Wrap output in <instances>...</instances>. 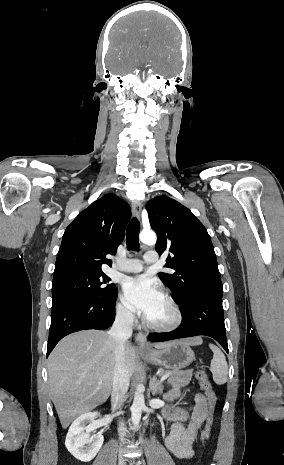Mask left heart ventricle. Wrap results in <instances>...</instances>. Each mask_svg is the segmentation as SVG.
I'll use <instances>...</instances> for the list:
<instances>
[{
	"label": "left heart ventricle",
	"mask_w": 284,
	"mask_h": 465,
	"mask_svg": "<svg viewBox=\"0 0 284 465\" xmlns=\"http://www.w3.org/2000/svg\"><path fill=\"white\" fill-rule=\"evenodd\" d=\"M172 312L165 300L162 298L158 306L148 317V320L154 324L163 325L172 321Z\"/></svg>",
	"instance_id": "left-heart-ventricle-1"
}]
</instances>
